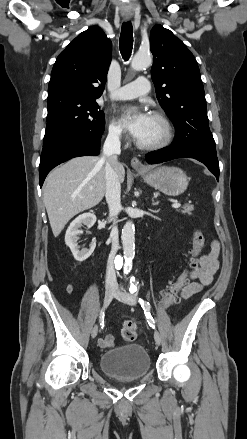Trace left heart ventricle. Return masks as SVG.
<instances>
[{"label": "left heart ventricle", "instance_id": "left-heart-ventricle-1", "mask_svg": "<svg viewBox=\"0 0 247 439\" xmlns=\"http://www.w3.org/2000/svg\"><path fill=\"white\" fill-rule=\"evenodd\" d=\"M163 135L164 129L160 121L150 116L148 126L139 141L141 143L151 144L161 140Z\"/></svg>", "mask_w": 247, "mask_h": 439}]
</instances>
